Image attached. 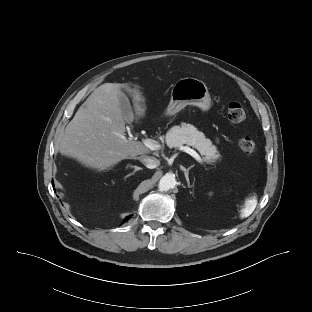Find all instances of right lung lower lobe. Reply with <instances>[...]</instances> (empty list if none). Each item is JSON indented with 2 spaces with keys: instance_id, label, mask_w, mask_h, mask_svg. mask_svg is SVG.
Wrapping results in <instances>:
<instances>
[{
  "instance_id": "obj_1",
  "label": "right lung lower lobe",
  "mask_w": 312,
  "mask_h": 312,
  "mask_svg": "<svg viewBox=\"0 0 312 312\" xmlns=\"http://www.w3.org/2000/svg\"><path fill=\"white\" fill-rule=\"evenodd\" d=\"M128 219H129V217H127V218L124 220V222L127 221Z\"/></svg>"
}]
</instances>
